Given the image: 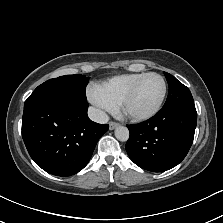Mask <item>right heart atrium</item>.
Listing matches in <instances>:
<instances>
[{
    "label": "right heart atrium",
    "mask_w": 223,
    "mask_h": 223,
    "mask_svg": "<svg viewBox=\"0 0 223 223\" xmlns=\"http://www.w3.org/2000/svg\"><path fill=\"white\" fill-rule=\"evenodd\" d=\"M91 102L97 107L100 114L114 112L116 106L113 105L100 91L97 85L93 86L89 95Z\"/></svg>",
    "instance_id": "1"
}]
</instances>
